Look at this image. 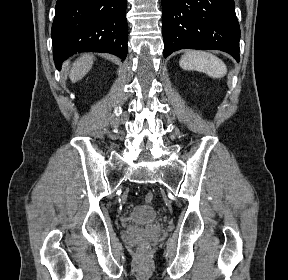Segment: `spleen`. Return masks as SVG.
<instances>
[{
  "label": "spleen",
  "instance_id": "spleen-1",
  "mask_svg": "<svg viewBox=\"0 0 288 280\" xmlns=\"http://www.w3.org/2000/svg\"><path fill=\"white\" fill-rule=\"evenodd\" d=\"M185 70H196L212 78H222L227 74L225 63L206 51H190L183 55L179 62Z\"/></svg>",
  "mask_w": 288,
  "mask_h": 280
}]
</instances>
